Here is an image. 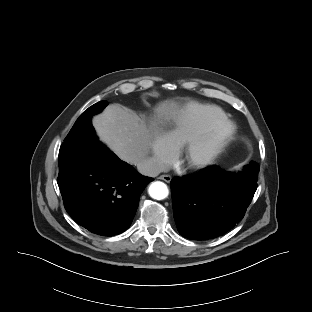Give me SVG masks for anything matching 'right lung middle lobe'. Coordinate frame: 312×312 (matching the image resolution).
<instances>
[{
    "label": "right lung middle lobe",
    "mask_w": 312,
    "mask_h": 312,
    "mask_svg": "<svg viewBox=\"0 0 312 312\" xmlns=\"http://www.w3.org/2000/svg\"><path fill=\"white\" fill-rule=\"evenodd\" d=\"M108 102L100 101L86 111L76 120L69 134L65 138L59 151V172L63 173L84 156L90 145L97 144L91 117L100 113Z\"/></svg>",
    "instance_id": "dd1d6c3e"
}]
</instances>
